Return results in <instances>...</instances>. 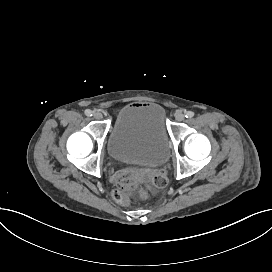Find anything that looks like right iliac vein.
Instances as JSON below:
<instances>
[{"mask_svg": "<svg viewBox=\"0 0 272 272\" xmlns=\"http://www.w3.org/2000/svg\"><path fill=\"white\" fill-rule=\"evenodd\" d=\"M94 118L96 119V120H100L101 118H102V114L100 113V112H95L94 113Z\"/></svg>", "mask_w": 272, "mask_h": 272, "instance_id": "obj_1", "label": "right iliac vein"}]
</instances>
